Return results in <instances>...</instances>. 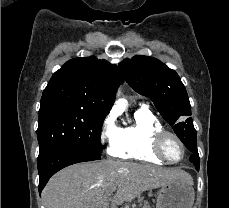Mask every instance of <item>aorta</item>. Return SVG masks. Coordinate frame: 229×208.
<instances>
[{
  "label": "aorta",
  "mask_w": 229,
  "mask_h": 208,
  "mask_svg": "<svg viewBox=\"0 0 229 208\" xmlns=\"http://www.w3.org/2000/svg\"><path fill=\"white\" fill-rule=\"evenodd\" d=\"M119 95H120V92L117 93V96H119Z\"/></svg>",
  "instance_id": "aorta-1"
}]
</instances>
